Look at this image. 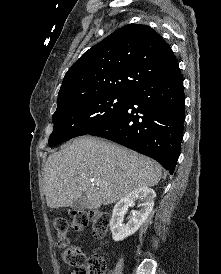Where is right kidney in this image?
<instances>
[{
  "mask_svg": "<svg viewBox=\"0 0 221 274\" xmlns=\"http://www.w3.org/2000/svg\"><path fill=\"white\" fill-rule=\"evenodd\" d=\"M156 193L149 187L139 188L122 198L113 209L110 220V230L114 241H121L134 234L150 215ZM138 201L140 209L134 211L126 225H123L124 215L129 207H133Z\"/></svg>",
  "mask_w": 221,
  "mask_h": 274,
  "instance_id": "obj_1",
  "label": "right kidney"
}]
</instances>
